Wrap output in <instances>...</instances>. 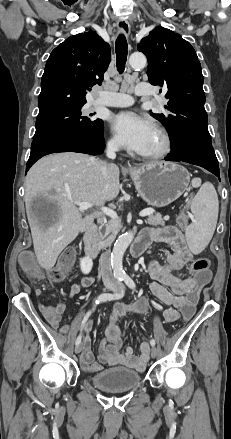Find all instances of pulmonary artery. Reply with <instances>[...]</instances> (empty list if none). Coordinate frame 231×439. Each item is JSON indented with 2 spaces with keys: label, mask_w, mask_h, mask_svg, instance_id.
<instances>
[{
  "label": "pulmonary artery",
  "mask_w": 231,
  "mask_h": 439,
  "mask_svg": "<svg viewBox=\"0 0 231 439\" xmlns=\"http://www.w3.org/2000/svg\"><path fill=\"white\" fill-rule=\"evenodd\" d=\"M135 94L138 96H147L150 94V87L146 83H140L135 87ZM134 102L131 95L124 92H116L114 88L103 91L96 103L109 107H127Z\"/></svg>",
  "instance_id": "obj_1"
}]
</instances>
